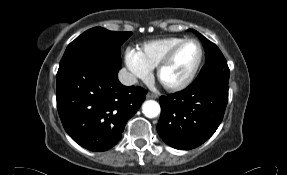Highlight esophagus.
<instances>
[{
  "instance_id": "34e87169",
  "label": "esophagus",
  "mask_w": 287,
  "mask_h": 175,
  "mask_svg": "<svg viewBox=\"0 0 287 175\" xmlns=\"http://www.w3.org/2000/svg\"><path fill=\"white\" fill-rule=\"evenodd\" d=\"M146 97H147L148 99H156V98L158 97V95L155 94V93H152V92H148L147 95H146Z\"/></svg>"
}]
</instances>
